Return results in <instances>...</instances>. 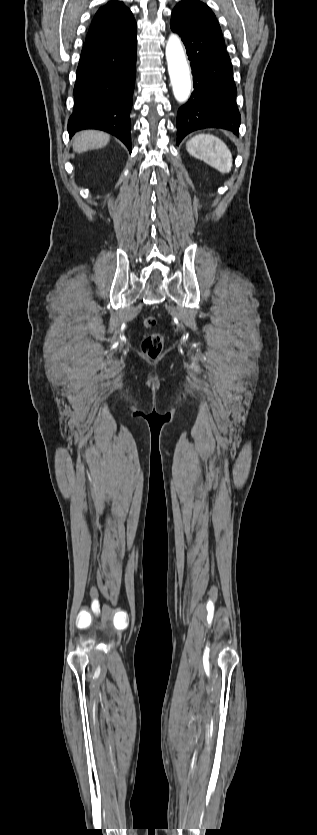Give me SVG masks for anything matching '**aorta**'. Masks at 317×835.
Wrapping results in <instances>:
<instances>
[{
  "mask_svg": "<svg viewBox=\"0 0 317 835\" xmlns=\"http://www.w3.org/2000/svg\"><path fill=\"white\" fill-rule=\"evenodd\" d=\"M165 55L174 97L179 103H185L191 93L190 69L181 40L176 34L169 36Z\"/></svg>",
  "mask_w": 317,
  "mask_h": 835,
  "instance_id": "762f6f07",
  "label": "aorta"
}]
</instances>
